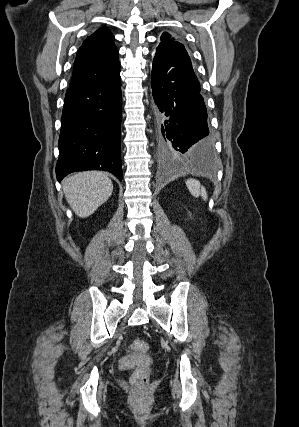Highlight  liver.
Wrapping results in <instances>:
<instances>
[{"label": "liver", "mask_w": 299, "mask_h": 427, "mask_svg": "<svg viewBox=\"0 0 299 427\" xmlns=\"http://www.w3.org/2000/svg\"><path fill=\"white\" fill-rule=\"evenodd\" d=\"M63 191L75 214L86 218L109 199L113 184L104 172L84 171L66 178Z\"/></svg>", "instance_id": "1"}]
</instances>
